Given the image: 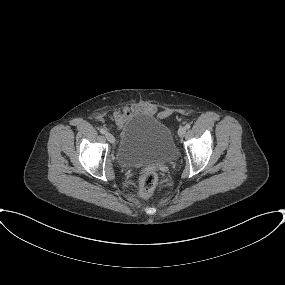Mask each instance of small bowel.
Listing matches in <instances>:
<instances>
[{
	"label": "small bowel",
	"instance_id": "c3829d8e",
	"mask_svg": "<svg viewBox=\"0 0 285 285\" xmlns=\"http://www.w3.org/2000/svg\"><path fill=\"white\" fill-rule=\"evenodd\" d=\"M138 111H146L152 113L154 107L151 104H136L123 107L122 109L113 113V119L118 128H122L126 120L134 113Z\"/></svg>",
	"mask_w": 285,
	"mask_h": 285
}]
</instances>
